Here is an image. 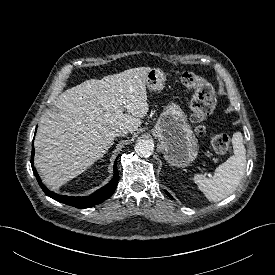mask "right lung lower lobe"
<instances>
[{
    "label": "right lung lower lobe",
    "instance_id": "1",
    "mask_svg": "<svg viewBox=\"0 0 275 275\" xmlns=\"http://www.w3.org/2000/svg\"><path fill=\"white\" fill-rule=\"evenodd\" d=\"M33 157H34V147L32 146V155H31V166L34 172V175L40 185V187L42 188V190L44 191V193L55 199L58 202L76 207V208H89L91 206L97 205L101 202H103L104 200L108 199L109 197L112 196V194L114 193L116 186L118 184V180H119V173L117 170V159L114 162V176L112 178V180L105 185L104 187L98 189L96 192H94L92 195L87 196V197H71V196H64V195H58L54 192H51L42 182L41 179L33 165Z\"/></svg>",
    "mask_w": 275,
    "mask_h": 275
}]
</instances>
